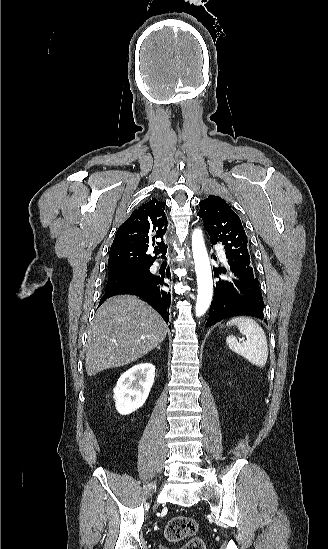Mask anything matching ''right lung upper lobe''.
<instances>
[{
    "label": "right lung upper lobe",
    "instance_id": "right-lung-upper-lobe-1",
    "mask_svg": "<svg viewBox=\"0 0 328 549\" xmlns=\"http://www.w3.org/2000/svg\"><path fill=\"white\" fill-rule=\"evenodd\" d=\"M164 207L165 203L151 198L119 227L110 248L109 274L132 269H149L159 253H162V256L166 254L167 247L163 242V235L166 233L168 222ZM155 245H158L154 250L155 256L146 254L148 248Z\"/></svg>",
    "mask_w": 328,
    "mask_h": 549
}]
</instances>
